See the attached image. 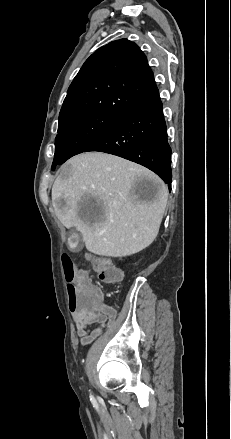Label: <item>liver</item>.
Here are the masks:
<instances>
[{"mask_svg":"<svg viewBox=\"0 0 231 439\" xmlns=\"http://www.w3.org/2000/svg\"><path fill=\"white\" fill-rule=\"evenodd\" d=\"M141 178L153 183L148 196L138 186ZM167 198V187L155 173L101 152L69 159L52 187V206L60 222L81 233L87 250L110 257L138 253L154 241Z\"/></svg>","mask_w":231,"mask_h":439,"instance_id":"obj_1","label":"liver"}]
</instances>
